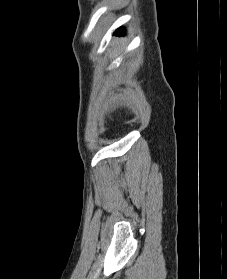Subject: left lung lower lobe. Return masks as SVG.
<instances>
[{
    "instance_id": "0a47b994",
    "label": "left lung lower lobe",
    "mask_w": 227,
    "mask_h": 279,
    "mask_svg": "<svg viewBox=\"0 0 227 279\" xmlns=\"http://www.w3.org/2000/svg\"><path fill=\"white\" fill-rule=\"evenodd\" d=\"M123 30L121 28H119L118 30L115 31L116 34H121Z\"/></svg>"
}]
</instances>
